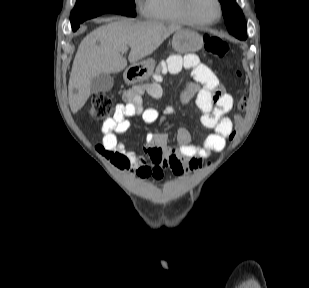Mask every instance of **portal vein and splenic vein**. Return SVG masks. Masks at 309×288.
<instances>
[{"instance_id":"portal-vein-and-splenic-vein-1","label":"portal vein and splenic vein","mask_w":309,"mask_h":288,"mask_svg":"<svg viewBox=\"0 0 309 288\" xmlns=\"http://www.w3.org/2000/svg\"><path fill=\"white\" fill-rule=\"evenodd\" d=\"M127 50H128V48L125 47V48H123L121 51H122V52H126Z\"/></svg>"}]
</instances>
